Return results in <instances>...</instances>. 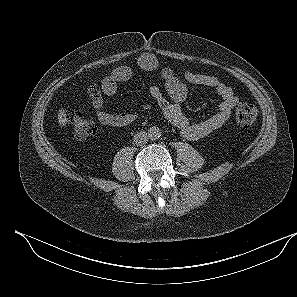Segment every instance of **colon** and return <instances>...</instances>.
<instances>
[{"label":"colon","mask_w":297,"mask_h":297,"mask_svg":"<svg viewBox=\"0 0 297 297\" xmlns=\"http://www.w3.org/2000/svg\"><path fill=\"white\" fill-rule=\"evenodd\" d=\"M259 109L252 103H241L235 109V118L242 127H249L255 123L258 118ZM67 120L73 129V135L76 139H86L96 133V122L78 111H70Z\"/></svg>","instance_id":"obj_1"}]
</instances>
